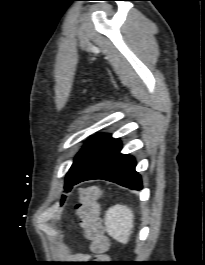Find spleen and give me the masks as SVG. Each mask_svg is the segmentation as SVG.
Instances as JSON below:
<instances>
[{"mask_svg": "<svg viewBox=\"0 0 205 265\" xmlns=\"http://www.w3.org/2000/svg\"><path fill=\"white\" fill-rule=\"evenodd\" d=\"M107 233L122 244H127L134 227V214L126 205L116 204L105 213Z\"/></svg>", "mask_w": 205, "mask_h": 265, "instance_id": "3e777b00", "label": "spleen"}]
</instances>
